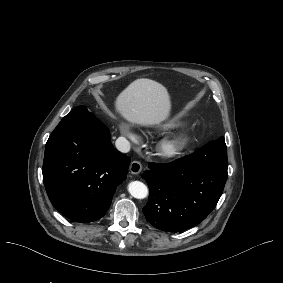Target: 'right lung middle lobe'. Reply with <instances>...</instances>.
I'll return each instance as SVG.
<instances>
[{"label":"right lung middle lobe","instance_id":"1","mask_svg":"<svg viewBox=\"0 0 283 283\" xmlns=\"http://www.w3.org/2000/svg\"><path fill=\"white\" fill-rule=\"evenodd\" d=\"M72 119H85L94 122H101L95 117V115L87 110L85 106H78L73 109L68 115H66L62 121L72 120Z\"/></svg>","mask_w":283,"mask_h":283}]
</instances>
